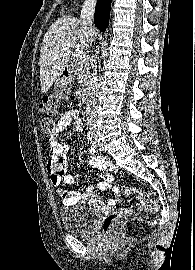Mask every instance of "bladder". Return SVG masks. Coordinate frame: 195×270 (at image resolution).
<instances>
[{
  "label": "bladder",
  "instance_id": "obj_1",
  "mask_svg": "<svg viewBox=\"0 0 195 270\" xmlns=\"http://www.w3.org/2000/svg\"><path fill=\"white\" fill-rule=\"evenodd\" d=\"M98 210V207L93 206L62 208L60 210L62 226L70 234L88 235L93 230Z\"/></svg>",
  "mask_w": 195,
  "mask_h": 270
}]
</instances>
